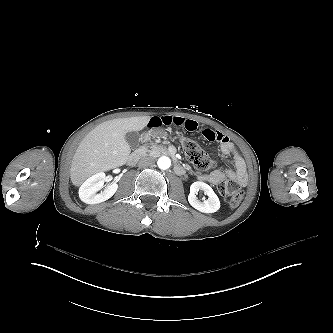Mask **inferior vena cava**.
Returning <instances> with one entry per match:
<instances>
[{
    "label": "inferior vena cava",
    "mask_w": 333,
    "mask_h": 333,
    "mask_svg": "<svg viewBox=\"0 0 333 333\" xmlns=\"http://www.w3.org/2000/svg\"><path fill=\"white\" fill-rule=\"evenodd\" d=\"M154 164H155L154 158L149 156L142 157L138 162V166L141 168L154 166Z\"/></svg>",
    "instance_id": "inferior-vena-cava-1"
}]
</instances>
